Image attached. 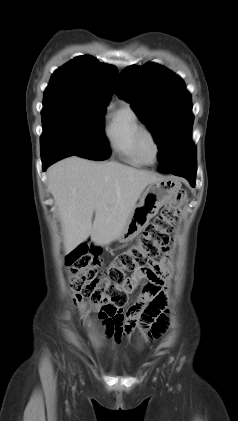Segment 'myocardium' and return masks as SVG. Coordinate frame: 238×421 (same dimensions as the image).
<instances>
[{"label": "myocardium", "instance_id": "myocardium-1", "mask_svg": "<svg viewBox=\"0 0 238 421\" xmlns=\"http://www.w3.org/2000/svg\"><path fill=\"white\" fill-rule=\"evenodd\" d=\"M149 143L153 148V154L150 156L146 150V144ZM137 145L139 152L147 164H153L156 162L159 153L160 146L154 133L146 127H143L137 138Z\"/></svg>", "mask_w": 238, "mask_h": 421}]
</instances>
